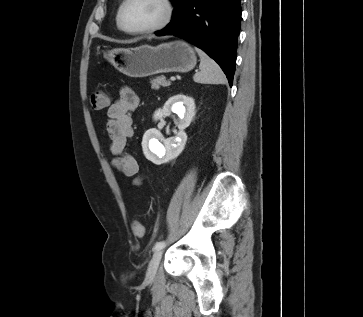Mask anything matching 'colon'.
<instances>
[{
	"instance_id": "obj_1",
	"label": "colon",
	"mask_w": 363,
	"mask_h": 317,
	"mask_svg": "<svg viewBox=\"0 0 363 317\" xmlns=\"http://www.w3.org/2000/svg\"><path fill=\"white\" fill-rule=\"evenodd\" d=\"M90 104L93 110H103L109 104L108 96L102 91L94 92L90 96ZM132 230L133 233L138 237H142L145 234L144 226L138 222H134Z\"/></svg>"
}]
</instances>
